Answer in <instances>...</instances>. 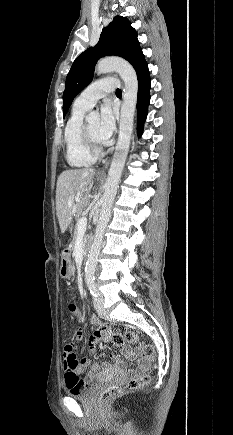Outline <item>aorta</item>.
Returning <instances> with one entry per match:
<instances>
[{
    "label": "aorta",
    "instance_id": "obj_1",
    "mask_svg": "<svg viewBox=\"0 0 233 435\" xmlns=\"http://www.w3.org/2000/svg\"><path fill=\"white\" fill-rule=\"evenodd\" d=\"M112 71L119 73L124 81L125 89L123 94V103L121 106L119 137L108 171L104 194L101 198L100 216L85 267V279L87 281H92L94 279V273L98 262V256L100 253L104 232L111 216L112 205L117 194L118 184L129 150L137 102L138 80L133 67L127 61L120 58L102 59L96 65V72L98 74H104ZM87 120H99V113L96 111L90 112L87 116Z\"/></svg>",
    "mask_w": 233,
    "mask_h": 435
}]
</instances>
